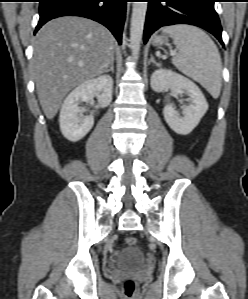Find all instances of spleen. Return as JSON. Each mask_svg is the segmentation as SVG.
Listing matches in <instances>:
<instances>
[{"label": "spleen", "mask_w": 248, "mask_h": 299, "mask_svg": "<svg viewBox=\"0 0 248 299\" xmlns=\"http://www.w3.org/2000/svg\"><path fill=\"white\" fill-rule=\"evenodd\" d=\"M178 49L172 58L174 66L202 85L213 98L221 91L222 62L217 46L201 29L179 24L165 27Z\"/></svg>", "instance_id": "spleen-1"}]
</instances>
